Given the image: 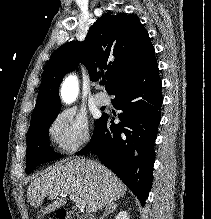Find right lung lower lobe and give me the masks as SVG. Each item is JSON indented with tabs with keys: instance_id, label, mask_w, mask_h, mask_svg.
I'll return each mask as SVG.
<instances>
[{
	"instance_id": "obj_1",
	"label": "right lung lower lobe",
	"mask_w": 211,
	"mask_h": 219,
	"mask_svg": "<svg viewBox=\"0 0 211 219\" xmlns=\"http://www.w3.org/2000/svg\"><path fill=\"white\" fill-rule=\"evenodd\" d=\"M158 64L147 67L116 86L110 95L123 113L115 124L107 114L97 120L90 143L78 155L95 153L137 196L142 206L152 187L154 142L163 97Z\"/></svg>"
}]
</instances>
